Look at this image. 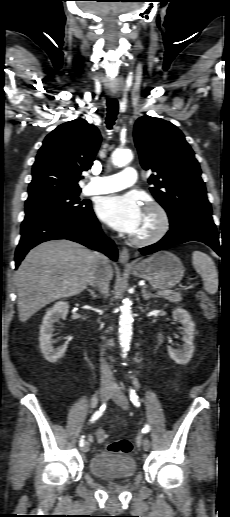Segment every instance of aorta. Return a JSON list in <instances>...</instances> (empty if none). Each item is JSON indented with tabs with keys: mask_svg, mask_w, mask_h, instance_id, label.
Instances as JSON below:
<instances>
[{
	"mask_svg": "<svg viewBox=\"0 0 230 517\" xmlns=\"http://www.w3.org/2000/svg\"><path fill=\"white\" fill-rule=\"evenodd\" d=\"M132 158L133 154L128 149H117L111 155L112 163L119 167L128 164L132 160ZM119 325V341L123 349V356H126L127 352L130 349L133 325V315L129 299L123 300V305L121 307V315L119 318Z\"/></svg>",
	"mask_w": 230,
	"mask_h": 517,
	"instance_id": "762f6f07",
	"label": "aorta"
}]
</instances>
